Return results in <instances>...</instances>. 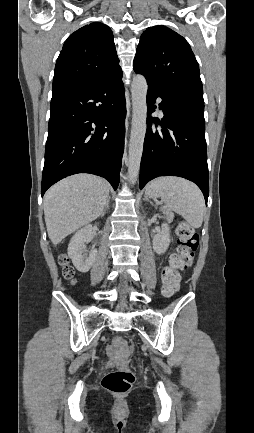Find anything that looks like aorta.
Segmentation results:
<instances>
[{
	"mask_svg": "<svg viewBox=\"0 0 254 433\" xmlns=\"http://www.w3.org/2000/svg\"><path fill=\"white\" fill-rule=\"evenodd\" d=\"M147 89V81L143 75L133 77L131 84L133 115L128 156V178L131 184L137 181L143 153L147 129Z\"/></svg>",
	"mask_w": 254,
	"mask_h": 433,
	"instance_id": "aorta-1",
	"label": "aorta"
}]
</instances>
